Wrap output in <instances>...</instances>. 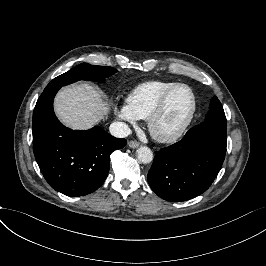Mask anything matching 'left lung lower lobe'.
I'll return each mask as SVG.
<instances>
[{"instance_id":"1","label":"left lung lower lobe","mask_w":266,"mask_h":266,"mask_svg":"<svg viewBox=\"0 0 266 266\" xmlns=\"http://www.w3.org/2000/svg\"><path fill=\"white\" fill-rule=\"evenodd\" d=\"M227 133L208 127L191 128L179 142L155 153L148 183L162 199L185 201L205 192L220 171Z\"/></svg>"}]
</instances>
